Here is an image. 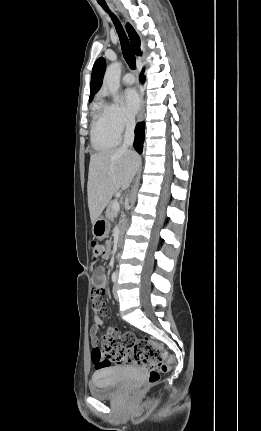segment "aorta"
I'll use <instances>...</instances> for the list:
<instances>
[{
    "label": "aorta",
    "mask_w": 261,
    "mask_h": 431,
    "mask_svg": "<svg viewBox=\"0 0 261 431\" xmlns=\"http://www.w3.org/2000/svg\"><path fill=\"white\" fill-rule=\"evenodd\" d=\"M121 63H111L106 69L103 83L108 87L110 93L116 97L120 86Z\"/></svg>",
    "instance_id": "1"
}]
</instances>
